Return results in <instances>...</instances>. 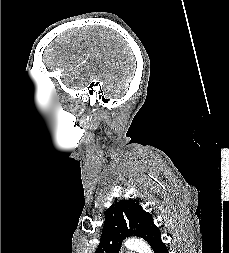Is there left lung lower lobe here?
Returning a JSON list of instances; mask_svg holds the SVG:
<instances>
[{"mask_svg": "<svg viewBox=\"0 0 229 253\" xmlns=\"http://www.w3.org/2000/svg\"><path fill=\"white\" fill-rule=\"evenodd\" d=\"M154 253H168L166 245L160 240L153 249Z\"/></svg>", "mask_w": 229, "mask_h": 253, "instance_id": "0a47b994", "label": "left lung lower lobe"}]
</instances>
